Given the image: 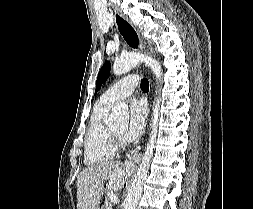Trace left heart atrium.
<instances>
[{"label": "left heart atrium", "instance_id": "39dd6f15", "mask_svg": "<svg viewBox=\"0 0 253 209\" xmlns=\"http://www.w3.org/2000/svg\"><path fill=\"white\" fill-rule=\"evenodd\" d=\"M146 117V105L142 101L134 100L130 105L129 122L122 133L125 141L132 142L141 135L145 126Z\"/></svg>", "mask_w": 253, "mask_h": 209}]
</instances>
